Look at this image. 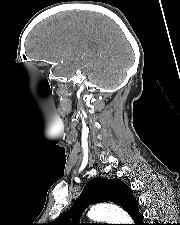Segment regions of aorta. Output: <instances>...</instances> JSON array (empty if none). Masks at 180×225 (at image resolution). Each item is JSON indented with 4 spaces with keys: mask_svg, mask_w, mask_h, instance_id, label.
I'll list each match as a JSON object with an SVG mask.
<instances>
[{
    "mask_svg": "<svg viewBox=\"0 0 180 225\" xmlns=\"http://www.w3.org/2000/svg\"><path fill=\"white\" fill-rule=\"evenodd\" d=\"M88 217L95 221H106L108 224H132L131 217L123 209L110 204L93 206Z\"/></svg>",
    "mask_w": 180,
    "mask_h": 225,
    "instance_id": "obj_1",
    "label": "aorta"
}]
</instances>
